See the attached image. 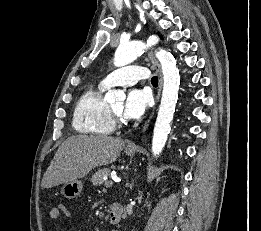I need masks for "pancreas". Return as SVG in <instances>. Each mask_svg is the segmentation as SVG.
Returning a JSON list of instances; mask_svg holds the SVG:
<instances>
[{"label":"pancreas","mask_w":261,"mask_h":231,"mask_svg":"<svg viewBox=\"0 0 261 231\" xmlns=\"http://www.w3.org/2000/svg\"><path fill=\"white\" fill-rule=\"evenodd\" d=\"M110 174V169L109 168H103V169H99L98 171H96L92 177H91V182L94 184V185H100L102 184L104 181H103V177L104 176H108Z\"/></svg>","instance_id":"obj_1"}]
</instances>
